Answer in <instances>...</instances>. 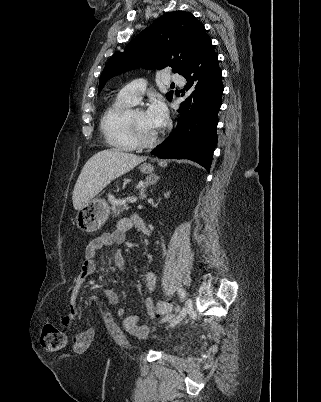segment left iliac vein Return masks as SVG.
I'll list each match as a JSON object with an SVG mask.
<instances>
[{
	"label": "left iliac vein",
	"mask_w": 321,
	"mask_h": 402,
	"mask_svg": "<svg viewBox=\"0 0 321 402\" xmlns=\"http://www.w3.org/2000/svg\"><path fill=\"white\" fill-rule=\"evenodd\" d=\"M192 309H193V301L191 298H187L183 308L180 310L178 315L169 321V327H174L176 324L182 321L190 313Z\"/></svg>",
	"instance_id": "obj_1"
}]
</instances>
